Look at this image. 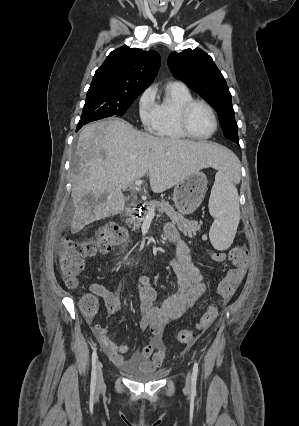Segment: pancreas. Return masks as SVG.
<instances>
[{"label": "pancreas", "instance_id": "pancreas-1", "mask_svg": "<svg viewBox=\"0 0 299 426\" xmlns=\"http://www.w3.org/2000/svg\"><path fill=\"white\" fill-rule=\"evenodd\" d=\"M146 210L144 211V216L141 218H132L129 220V223H134L133 230L139 228L141 222L145 219V215H147L152 208L156 209L159 213H165L170 217L173 223L177 224L178 229L188 237H192L196 235L198 231L201 229L202 222L198 221H189L184 218L183 215L176 212L175 208L169 204L166 200L156 201L152 200L145 203Z\"/></svg>", "mask_w": 299, "mask_h": 426}]
</instances>
